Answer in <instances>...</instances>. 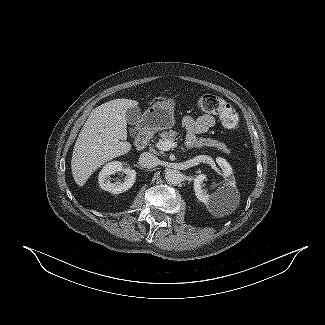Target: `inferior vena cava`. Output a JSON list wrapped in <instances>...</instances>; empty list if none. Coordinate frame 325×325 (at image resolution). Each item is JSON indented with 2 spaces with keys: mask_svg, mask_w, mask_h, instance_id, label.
I'll use <instances>...</instances> for the list:
<instances>
[{
  "mask_svg": "<svg viewBox=\"0 0 325 325\" xmlns=\"http://www.w3.org/2000/svg\"><path fill=\"white\" fill-rule=\"evenodd\" d=\"M139 163L145 168H154L158 165L159 160L155 155L144 152L140 155Z\"/></svg>",
  "mask_w": 325,
  "mask_h": 325,
  "instance_id": "1",
  "label": "inferior vena cava"
}]
</instances>
